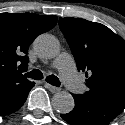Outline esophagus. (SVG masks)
Returning <instances> with one entry per match:
<instances>
[{
  "instance_id": "34e87169",
  "label": "esophagus",
  "mask_w": 125,
  "mask_h": 125,
  "mask_svg": "<svg viewBox=\"0 0 125 125\" xmlns=\"http://www.w3.org/2000/svg\"><path fill=\"white\" fill-rule=\"evenodd\" d=\"M45 86L52 93H56L60 90L58 87H55V86L48 84V83H46Z\"/></svg>"
}]
</instances>
